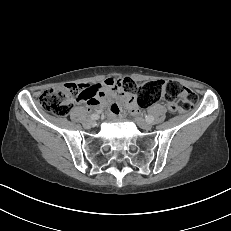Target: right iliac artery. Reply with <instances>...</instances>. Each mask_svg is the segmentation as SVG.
Wrapping results in <instances>:
<instances>
[{
    "instance_id": "82829eb1",
    "label": "right iliac artery",
    "mask_w": 231,
    "mask_h": 231,
    "mask_svg": "<svg viewBox=\"0 0 231 231\" xmlns=\"http://www.w3.org/2000/svg\"><path fill=\"white\" fill-rule=\"evenodd\" d=\"M98 118H99V116L97 114H92L91 115L92 120H97Z\"/></svg>"
}]
</instances>
